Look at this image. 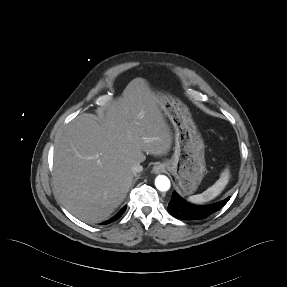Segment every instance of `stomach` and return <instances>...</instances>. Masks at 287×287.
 <instances>
[{
	"mask_svg": "<svg viewBox=\"0 0 287 287\" xmlns=\"http://www.w3.org/2000/svg\"><path fill=\"white\" fill-rule=\"evenodd\" d=\"M155 96L175 131L174 153L165 162L166 167L177 180L182 192L193 194L206 171L204 141L185 104L169 95L157 93Z\"/></svg>",
	"mask_w": 287,
	"mask_h": 287,
	"instance_id": "1",
	"label": "stomach"
}]
</instances>
